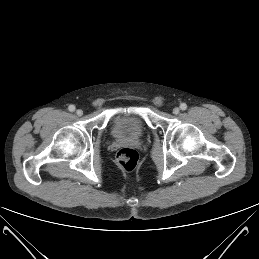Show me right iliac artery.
Masks as SVG:
<instances>
[{
  "label": "right iliac artery",
  "mask_w": 259,
  "mask_h": 259,
  "mask_svg": "<svg viewBox=\"0 0 259 259\" xmlns=\"http://www.w3.org/2000/svg\"><path fill=\"white\" fill-rule=\"evenodd\" d=\"M68 110H69L70 112L75 111V106H74V105H69Z\"/></svg>",
  "instance_id": "obj_1"
}]
</instances>
